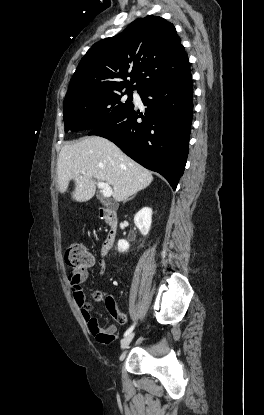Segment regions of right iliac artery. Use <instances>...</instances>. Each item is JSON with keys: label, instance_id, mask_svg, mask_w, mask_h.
<instances>
[{"label": "right iliac artery", "instance_id": "82829eb1", "mask_svg": "<svg viewBox=\"0 0 264 415\" xmlns=\"http://www.w3.org/2000/svg\"><path fill=\"white\" fill-rule=\"evenodd\" d=\"M134 327H135V323L133 324V325H131L126 331H125V333H124V337H126L127 335H129L132 331H133V329H134Z\"/></svg>", "mask_w": 264, "mask_h": 415}]
</instances>
